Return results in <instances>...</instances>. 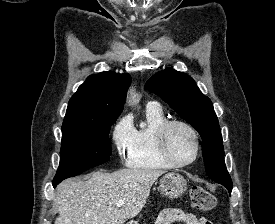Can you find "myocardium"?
Returning a JSON list of instances; mask_svg holds the SVG:
<instances>
[{
  "label": "myocardium",
  "mask_w": 275,
  "mask_h": 224,
  "mask_svg": "<svg viewBox=\"0 0 275 224\" xmlns=\"http://www.w3.org/2000/svg\"><path fill=\"white\" fill-rule=\"evenodd\" d=\"M174 126H181L185 128L190 132V134L193 137L194 144H195V151H194L193 157L188 161L179 162L169 152V149L167 146V136H168L169 130ZM155 144L161 158L171 166L177 167V168H183L193 164L198 159L200 155V150H201L200 138L196 129L188 122L179 120V119L166 120L164 123H162L159 126L155 134Z\"/></svg>",
  "instance_id": "obj_1"
}]
</instances>
